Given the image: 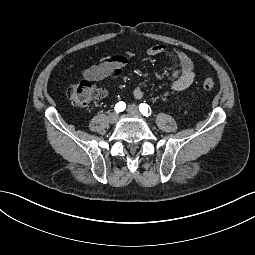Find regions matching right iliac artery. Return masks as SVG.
Returning <instances> with one entry per match:
<instances>
[{"instance_id":"1","label":"right iliac artery","mask_w":255,"mask_h":255,"mask_svg":"<svg viewBox=\"0 0 255 255\" xmlns=\"http://www.w3.org/2000/svg\"><path fill=\"white\" fill-rule=\"evenodd\" d=\"M125 108H126L125 102L120 101L115 105L114 110L116 113H120V112L124 111Z\"/></svg>"}]
</instances>
